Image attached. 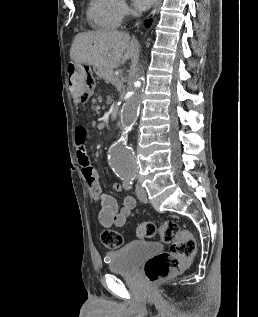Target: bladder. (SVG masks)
<instances>
[{"label": "bladder", "instance_id": "obj_1", "mask_svg": "<svg viewBox=\"0 0 258 317\" xmlns=\"http://www.w3.org/2000/svg\"><path fill=\"white\" fill-rule=\"evenodd\" d=\"M162 245L156 242L132 241L124 247L107 254L111 271H134L144 260L162 253Z\"/></svg>", "mask_w": 258, "mask_h": 317}]
</instances>
